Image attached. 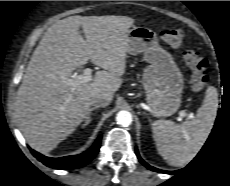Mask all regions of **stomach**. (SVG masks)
Here are the masks:
<instances>
[{"instance_id": "stomach-1", "label": "stomach", "mask_w": 230, "mask_h": 186, "mask_svg": "<svg viewBox=\"0 0 230 186\" xmlns=\"http://www.w3.org/2000/svg\"><path fill=\"white\" fill-rule=\"evenodd\" d=\"M127 53H141L150 64L143 73V86L151 114L173 115L181 105L184 78L172 55L159 46L156 33L134 26L129 31Z\"/></svg>"}]
</instances>
